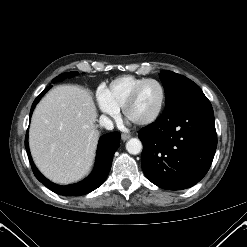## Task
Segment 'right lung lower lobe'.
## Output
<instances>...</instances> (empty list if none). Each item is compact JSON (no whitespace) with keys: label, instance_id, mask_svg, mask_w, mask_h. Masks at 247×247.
Here are the masks:
<instances>
[{"label":"right lung lower lobe","instance_id":"obj_1","mask_svg":"<svg viewBox=\"0 0 247 247\" xmlns=\"http://www.w3.org/2000/svg\"><path fill=\"white\" fill-rule=\"evenodd\" d=\"M51 87L52 86L46 87L44 91L35 99L31 107L30 116L36 104L41 99V97ZM119 145H120V133L119 132H111L106 135H103L99 140L97 156H96V164H95L93 172L86 179H84L83 181L79 183L72 184V185H66V186H60L46 179L36 168L31 158L30 151H29L28 134L26 135V139H25L26 151H27L30 163H31L33 173L36 176V178L42 184H44L48 189L52 190L53 192L57 194L64 195V196L84 195V194L92 192L93 190L101 186L109 174L113 155L115 151L117 150V148L119 147Z\"/></svg>","mask_w":247,"mask_h":247}]
</instances>
